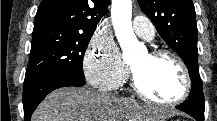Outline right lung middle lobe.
Instances as JSON below:
<instances>
[{
	"mask_svg": "<svg viewBox=\"0 0 217 121\" xmlns=\"http://www.w3.org/2000/svg\"><path fill=\"white\" fill-rule=\"evenodd\" d=\"M93 33L58 24L34 27L25 80L52 71L85 80L83 56Z\"/></svg>",
	"mask_w": 217,
	"mask_h": 121,
	"instance_id": "1",
	"label": "right lung middle lobe"
}]
</instances>
